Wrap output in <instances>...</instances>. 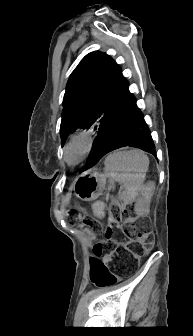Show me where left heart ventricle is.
Segmentation results:
<instances>
[{
	"label": "left heart ventricle",
	"mask_w": 193,
	"mask_h": 336,
	"mask_svg": "<svg viewBox=\"0 0 193 336\" xmlns=\"http://www.w3.org/2000/svg\"><path fill=\"white\" fill-rule=\"evenodd\" d=\"M78 153H79V148L77 146H74L70 152H69V157L71 160H74L78 157Z\"/></svg>",
	"instance_id": "obj_1"
}]
</instances>
